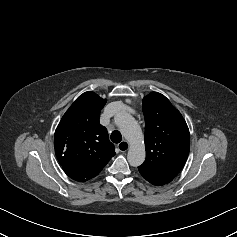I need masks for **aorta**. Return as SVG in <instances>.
Returning a JSON list of instances; mask_svg holds the SVG:
<instances>
[{"label":"aorta","mask_w":237,"mask_h":237,"mask_svg":"<svg viewBox=\"0 0 237 237\" xmlns=\"http://www.w3.org/2000/svg\"><path fill=\"white\" fill-rule=\"evenodd\" d=\"M114 121L122 135L128 140L130 147L127 159L131 166L137 167L143 164L146 157L144 137L136 120L126 112L115 115Z\"/></svg>","instance_id":"1"}]
</instances>
